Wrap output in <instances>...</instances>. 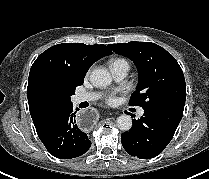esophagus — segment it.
Masks as SVG:
<instances>
[{
    "instance_id": "obj_1",
    "label": "esophagus",
    "mask_w": 209,
    "mask_h": 179,
    "mask_svg": "<svg viewBox=\"0 0 209 179\" xmlns=\"http://www.w3.org/2000/svg\"><path fill=\"white\" fill-rule=\"evenodd\" d=\"M98 121V114L92 107H85L75 115V122L82 131H89Z\"/></svg>"
}]
</instances>
